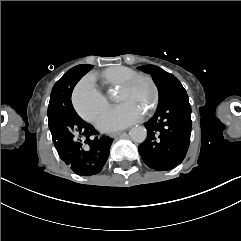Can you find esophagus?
I'll return each instance as SVG.
<instances>
[{
	"instance_id": "obj_1",
	"label": "esophagus",
	"mask_w": 241,
	"mask_h": 241,
	"mask_svg": "<svg viewBox=\"0 0 241 241\" xmlns=\"http://www.w3.org/2000/svg\"><path fill=\"white\" fill-rule=\"evenodd\" d=\"M122 133H123V131L113 132L110 134V137L116 138V137L120 136Z\"/></svg>"
}]
</instances>
